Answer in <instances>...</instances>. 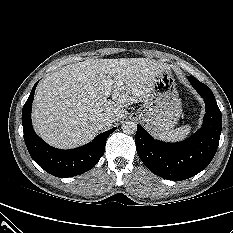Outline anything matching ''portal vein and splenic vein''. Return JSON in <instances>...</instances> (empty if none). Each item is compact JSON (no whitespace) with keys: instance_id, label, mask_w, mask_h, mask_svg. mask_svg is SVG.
Here are the masks:
<instances>
[{"instance_id":"portal-vein-and-splenic-vein-1","label":"portal vein and splenic vein","mask_w":233,"mask_h":233,"mask_svg":"<svg viewBox=\"0 0 233 233\" xmlns=\"http://www.w3.org/2000/svg\"><path fill=\"white\" fill-rule=\"evenodd\" d=\"M112 84L113 82L110 81V80H106L104 82V85H105V92H104V95L105 97H108L110 95V92H111V88H112Z\"/></svg>"}]
</instances>
